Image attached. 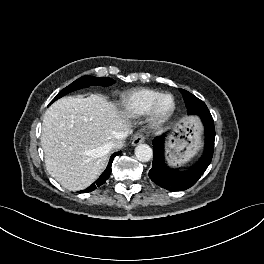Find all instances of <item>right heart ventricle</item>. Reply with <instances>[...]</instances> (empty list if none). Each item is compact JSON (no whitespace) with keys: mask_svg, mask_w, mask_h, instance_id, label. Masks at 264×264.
I'll return each mask as SVG.
<instances>
[{"mask_svg":"<svg viewBox=\"0 0 264 264\" xmlns=\"http://www.w3.org/2000/svg\"><path fill=\"white\" fill-rule=\"evenodd\" d=\"M162 94V92L150 88L133 90L122 97V110L129 117L144 116L149 113L153 103Z\"/></svg>","mask_w":264,"mask_h":264,"instance_id":"obj_1","label":"right heart ventricle"}]
</instances>
